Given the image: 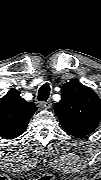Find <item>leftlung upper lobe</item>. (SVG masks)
Wrapping results in <instances>:
<instances>
[{
	"instance_id": "left-lung-upper-lobe-1",
	"label": "left lung upper lobe",
	"mask_w": 101,
	"mask_h": 180,
	"mask_svg": "<svg viewBox=\"0 0 101 180\" xmlns=\"http://www.w3.org/2000/svg\"><path fill=\"white\" fill-rule=\"evenodd\" d=\"M61 101L54 110L65 132L75 137H84L98 126L101 116V101L97 94L77 80L62 86Z\"/></svg>"
}]
</instances>
